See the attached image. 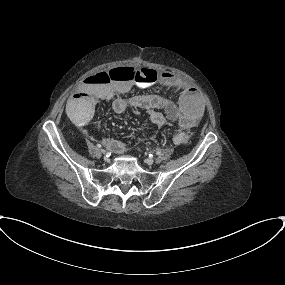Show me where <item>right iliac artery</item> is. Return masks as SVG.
<instances>
[{
	"label": "right iliac artery",
	"mask_w": 285,
	"mask_h": 285,
	"mask_svg": "<svg viewBox=\"0 0 285 285\" xmlns=\"http://www.w3.org/2000/svg\"><path fill=\"white\" fill-rule=\"evenodd\" d=\"M96 147H97V148H101L102 145H101V144H96Z\"/></svg>",
	"instance_id": "82829eb1"
}]
</instances>
